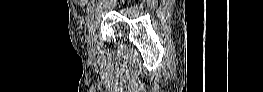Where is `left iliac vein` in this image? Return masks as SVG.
Returning a JSON list of instances; mask_svg holds the SVG:
<instances>
[{"mask_svg": "<svg viewBox=\"0 0 263 92\" xmlns=\"http://www.w3.org/2000/svg\"><path fill=\"white\" fill-rule=\"evenodd\" d=\"M87 42H88V47L90 51L95 50V28L92 25L89 29L88 35H87Z\"/></svg>", "mask_w": 263, "mask_h": 92, "instance_id": "1", "label": "left iliac vein"}]
</instances>
